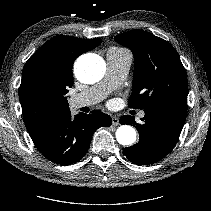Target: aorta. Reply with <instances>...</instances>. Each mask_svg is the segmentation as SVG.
Here are the masks:
<instances>
[{
	"label": "aorta",
	"instance_id": "1",
	"mask_svg": "<svg viewBox=\"0 0 211 211\" xmlns=\"http://www.w3.org/2000/svg\"><path fill=\"white\" fill-rule=\"evenodd\" d=\"M104 60L96 54L80 56L74 65L76 78L87 84L99 81L105 74ZM116 139L121 145H131L136 140V131L129 125H121L116 131Z\"/></svg>",
	"mask_w": 211,
	"mask_h": 211
}]
</instances>
